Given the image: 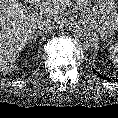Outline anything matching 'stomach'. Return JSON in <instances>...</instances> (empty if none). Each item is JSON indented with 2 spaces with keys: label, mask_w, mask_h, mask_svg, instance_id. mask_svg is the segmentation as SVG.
<instances>
[{
  "label": "stomach",
  "mask_w": 118,
  "mask_h": 118,
  "mask_svg": "<svg viewBox=\"0 0 118 118\" xmlns=\"http://www.w3.org/2000/svg\"><path fill=\"white\" fill-rule=\"evenodd\" d=\"M115 0H96L95 6L84 17V22L102 38L113 36L118 31V11Z\"/></svg>",
  "instance_id": "obj_1"
}]
</instances>
